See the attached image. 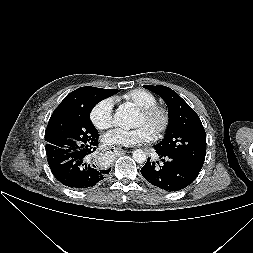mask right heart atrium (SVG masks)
<instances>
[{
  "label": "right heart atrium",
  "instance_id": "right-heart-atrium-1",
  "mask_svg": "<svg viewBox=\"0 0 253 253\" xmlns=\"http://www.w3.org/2000/svg\"><path fill=\"white\" fill-rule=\"evenodd\" d=\"M114 101L111 98H104L97 102L92 108L90 119L93 125L99 130H106L113 125Z\"/></svg>",
  "mask_w": 253,
  "mask_h": 253
}]
</instances>
